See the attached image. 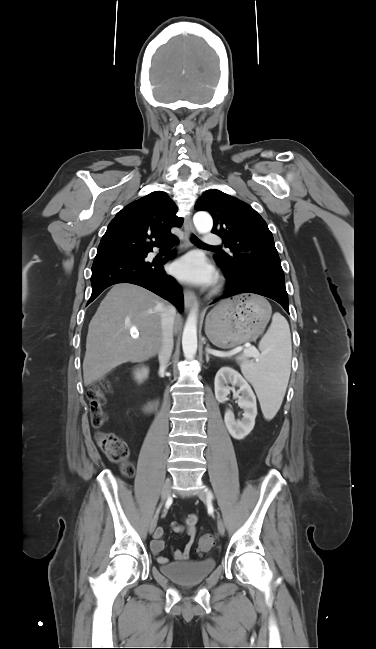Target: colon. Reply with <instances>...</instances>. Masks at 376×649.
I'll list each match as a JSON object with an SVG mask.
<instances>
[{
  "mask_svg": "<svg viewBox=\"0 0 376 649\" xmlns=\"http://www.w3.org/2000/svg\"><path fill=\"white\" fill-rule=\"evenodd\" d=\"M109 389V381L103 380L91 386L86 393L90 404L91 423L94 428H101L106 422V414L103 410L105 393ZM95 440L100 449L112 462L120 464L122 473L131 477L134 474V466L128 461L129 448L126 442L114 433L98 431ZM195 520V518L193 519ZM214 538L211 535H203L198 542V551L207 552L214 545Z\"/></svg>",
  "mask_w": 376,
  "mask_h": 649,
  "instance_id": "5ec220e1",
  "label": "colon"
}]
</instances>
